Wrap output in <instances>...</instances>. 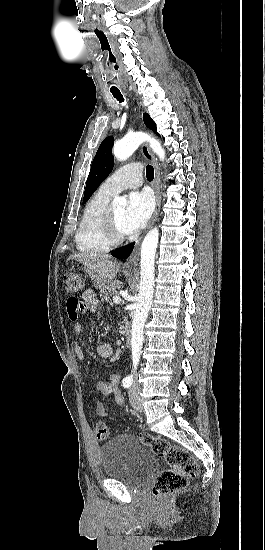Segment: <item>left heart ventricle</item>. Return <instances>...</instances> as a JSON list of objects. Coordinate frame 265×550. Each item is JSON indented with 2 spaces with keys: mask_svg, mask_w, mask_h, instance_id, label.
Returning <instances> with one entry per match:
<instances>
[{
  "mask_svg": "<svg viewBox=\"0 0 265 550\" xmlns=\"http://www.w3.org/2000/svg\"><path fill=\"white\" fill-rule=\"evenodd\" d=\"M112 212L114 214V217H115V220H116V223H117V226H118L119 230L123 233H128L126 231L125 225H124V217H125V213H126V208L125 207L112 208Z\"/></svg>",
  "mask_w": 265,
  "mask_h": 550,
  "instance_id": "1",
  "label": "left heart ventricle"
}]
</instances>
